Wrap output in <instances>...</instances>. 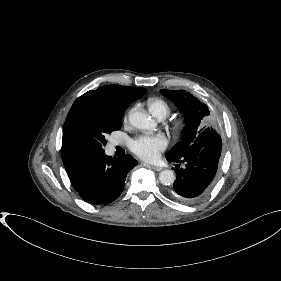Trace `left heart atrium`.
I'll list each match as a JSON object with an SVG mask.
<instances>
[{
	"instance_id": "left-heart-atrium-1",
	"label": "left heart atrium",
	"mask_w": 281,
	"mask_h": 281,
	"mask_svg": "<svg viewBox=\"0 0 281 281\" xmlns=\"http://www.w3.org/2000/svg\"><path fill=\"white\" fill-rule=\"evenodd\" d=\"M167 146L161 135H141L130 142L131 150L146 161H155Z\"/></svg>"
}]
</instances>
